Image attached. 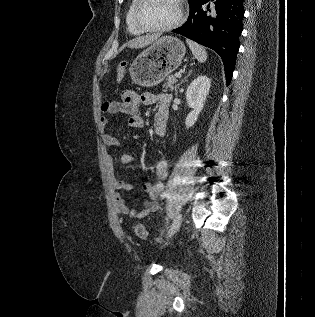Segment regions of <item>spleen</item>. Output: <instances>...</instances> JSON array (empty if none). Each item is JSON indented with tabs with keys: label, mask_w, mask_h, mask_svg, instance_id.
<instances>
[{
	"label": "spleen",
	"mask_w": 315,
	"mask_h": 317,
	"mask_svg": "<svg viewBox=\"0 0 315 317\" xmlns=\"http://www.w3.org/2000/svg\"><path fill=\"white\" fill-rule=\"evenodd\" d=\"M186 42L191 49L192 54L199 62L203 63L207 60V52L203 46L189 39H186Z\"/></svg>",
	"instance_id": "3e777b00"
}]
</instances>
